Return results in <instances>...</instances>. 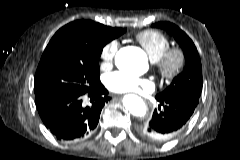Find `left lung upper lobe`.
<instances>
[{
	"mask_svg": "<svg viewBox=\"0 0 240 160\" xmlns=\"http://www.w3.org/2000/svg\"><path fill=\"white\" fill-rule=\"evenodd\" d=\"M169 32L181 46L185 56V67L181 74L157 98H177L199 103L202 91V67L197 48L188 35L170 22H158L152 25Z\"/></svg>",
	"mask_w": 240,
	"mask_h": 160,
	"instance_id": "1",
	"label": "left lung upper lobe"
}]
</instances>
